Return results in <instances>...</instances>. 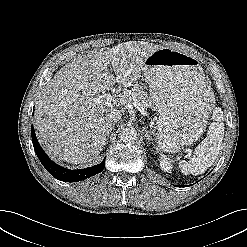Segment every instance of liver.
Returning a JSON list of instances; mask_svg holds the SVG:
<instances>
[{"mask_svg": "<svg viewBox=\"0 0 247 247\" xmlns=\"http://www.w3.org/2000/svg\"><path fill=\"white\" fill-rule=\"evenodd\" d=\"M161 48L129 41L78 55L61 68L46 84L35 109V130L43 148L70 164L97 158L106 145V115L120 112L118 107L129 100L127 88L141 77L145 59ZM116 83L124 89L113 96L115 104H98L99 93Z\"/></svg>", "mask_w": 247, "mask_h": 247, "instance_id": "obj_1", "label": "liver"}]
</instances>
